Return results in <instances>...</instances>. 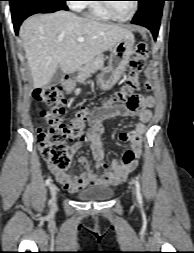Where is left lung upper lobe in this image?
<instances>
[{
  "instance_id": "obj_1",
  "label": "left lung upper lobe",
  "mask_w": 194,
  "mask_h": 253,
  "mask_svg": "<svg viewBox=\"0 0 194 253\" xmlns=\"http://www.w3.org/2000/svg\"><path fill=\"white\" fill-rule=\"evenodd\" d=\"M139 3H141L142 1H144V0H137Z\"/></svg>"
}]
</instances>
